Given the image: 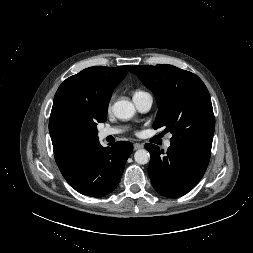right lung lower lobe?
Listing matches in <instances>:
<instances>
[{
	"instance_id": "98d812e1",
	"label": "right lung lower lobe",
	"mask_w": 253,
	"mask_h": 253,
	"mask_svg": "<svg viewBox=\"0 0 253 253\" xmlns=\"http://www.w3.org/2000/svg\"><path fill=\"white\" fill-rule=\"evenodd\" d=\"M132 151L133 145L128 141H118L109 147H103L95 140L60 168V171L76 191L100 198L117 187Z\"/></svg>"
}]
</instances>
